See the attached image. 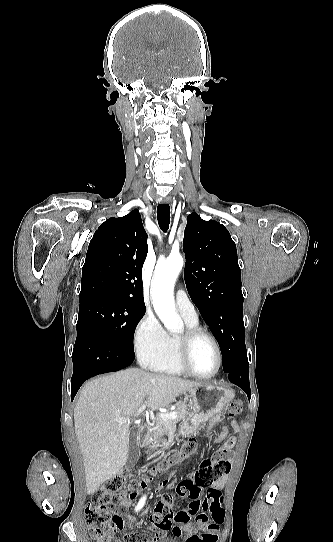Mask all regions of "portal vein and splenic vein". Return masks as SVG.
I'll return each mask as SVG.
<instances>
[{
	"mask_svg": "<svg viewBox=\"0 0 333 542\" xmlns=\"http://www.w3.org/2000/svg\"><path fill=\"white\" fill-rule=\"evenodd\" d=\"M146 410V404H143L141 408H138L136 416H139V414H142ZM159 418H163V420H176L178 418L177 412H170V414H159ZM115 422H120V424H125V422H130L129 418H116Z\"/></svg>",
	"mask_w": 333,
	"mask_h": 542,
	"instance_id": "18ae733b",
	"label": "portal vein and splenic vein"
}]
</instances>
